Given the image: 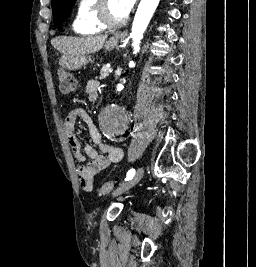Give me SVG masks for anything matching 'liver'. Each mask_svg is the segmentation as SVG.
<instances>
[{
  "instance_id": "6515ba94",
  "label": "liver",
  "mask_w": 256,
  "mask_h": 267,
  "mask_svg": "<svg viewBox=\"0 0 256 267\" xmlns=\"http://www.w3.org/2000/svg\"><path fill=\"white\" fill-rule=\"evenodd\" d=\"M118 34V32H117ZM107 34L104 36H87V38H72V36H58L51 40L52 46L66 56H85L95 54L103 48Z\"/></svg>"
}]
</instances>
